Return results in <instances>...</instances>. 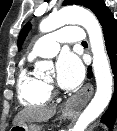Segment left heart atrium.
I'll use <instances>...</instances> for the list:
<instances>
[{"mask_svg":"<svg viewBox=\"0 0 117 131\" xmlns=\"http://www.w3.org/2000/svg\"><path fill=\"white\" fill-rule=\"evenodd\" d=\"M57 82L65 89L77 87L84 77V66L71 52L63 53L57 61Z\"/></svg>","mask_w":117,"mask_h":131,"instance_id":"obj_1","label":"left heart atrium"}]
</instances>
